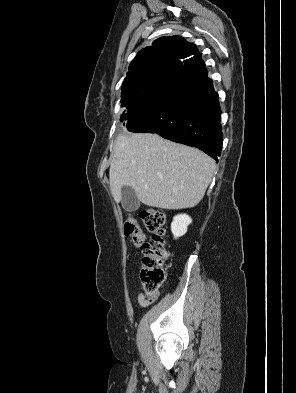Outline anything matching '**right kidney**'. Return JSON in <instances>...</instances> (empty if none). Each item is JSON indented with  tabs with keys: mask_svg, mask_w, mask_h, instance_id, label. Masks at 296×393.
I'll list each match as a JSON object with an SVG mask.
<instances>
[{
	"mask_svg": "<svg viewBox=\"0 0 296 393\" xmlns=\"http://www.w3.org/2000/svg\"><path fill=\"white\" fill-rule=\"evenodd\" d=\"M192 223V219L186 214H179L173 218L171 223V231L175 239L186 234L188 225Z\"/></svg>",
	"mask_w": 296,
	"mask_h": 393,
	"instance_id": "obj_1",
	"label": "right kidney"
}]
</instances>
